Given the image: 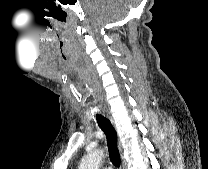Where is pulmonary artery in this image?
I'll list each match as a JSON object with an SVG mask.
<instances>
[{"instance_id": "e3ab8cb5", "label": "pulmonary artery", "mask_w": 208, "mask_h": 169, "mask_svg": "<svg viewBox=\"0 0 208 169\" xmlns=\"http://www.w3.org/2000/svg\"><path fill=\"white\" fill-rule=\"evenodd\" d=\"M102 169H112L111 167H102Z\"/></svg>"}]
</instances>
